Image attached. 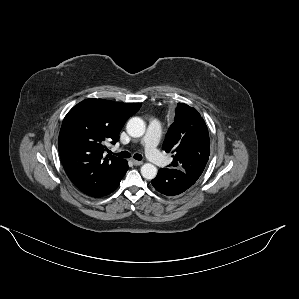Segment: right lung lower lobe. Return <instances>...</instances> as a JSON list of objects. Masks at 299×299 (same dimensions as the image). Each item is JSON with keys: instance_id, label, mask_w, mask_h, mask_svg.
Segmentation results:
<instances>
[{"instance_id": "98d812e1", "label": "right lung lower lobe", "mask_w": 299, "mask_h": 299, "mask_svg": "<svg viewBox=\"0 0 299 299\" xmlns=\"http://www.w3.org/2000/svg\"><path fill=\"white\" fill-rule=\"evenodd\" d=\"M128 170V163L127 161H125V163L123 164V167L120 169L116 179L114 180V182L112 183V185L108 188V190L103 193L101 196L99 197H102V196H105V195H108L110 194L111 192H113L117 187L118 185L120 184V181L121 179L123 178V176L125 175V173L127 172Z\"/></svg>"}]
</instances>
